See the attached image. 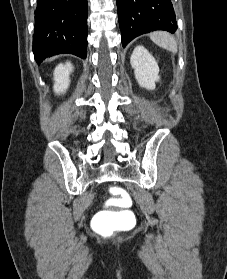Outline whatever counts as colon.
Wrapping results in <instances>:
<instances>
[{"label":"colon","mask_w":227,"mask_h":279,"mask_svg":"<svg viewBox=\"0 0 227 279\" xmlns=\"http://www.w3.org/2000/svg\"><path fill=\"white\" fill-rule=\"evenodd\" d=\"M109 192L112 195V202L118 205L115 209L102 211L97 218L98 230L101 232H111L122 228L129 218L128 209L122 206L131 199L128 192L117 186H111Z\"/></svg>","instance_id":"5ec220e1"}]
</instances>
